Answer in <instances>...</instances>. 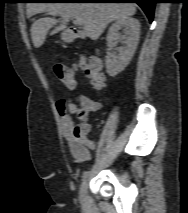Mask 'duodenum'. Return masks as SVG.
Segmentation results:
<instances>
[{"label":"duodenum","mask_w":188,"mask_h":213,"mask_svg":"<svg viewBox=\"0 0 188 213\" xmlns=\"http://www.w3.org/2000/svg\"><path fill=\"white\" fill-rule=\"evenodd\" d=\"M84 36V33L81 31H76V30H71V39L72 40H76V39H80ZM92 61L94 63L99 64L100 63V56L98 53H96L93 57H92Z\"/></svg>","instance_id":"410a0bca"}]
</instances>
